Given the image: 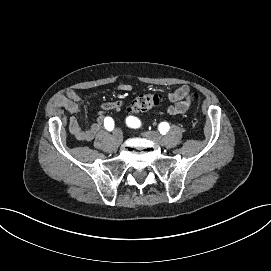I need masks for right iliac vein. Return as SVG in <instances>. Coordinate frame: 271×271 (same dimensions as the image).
I'll return each mask as SVG.
<instances>
[{"mask_svg": "<svg viewBox=\"0 0 271 271\" xmlns=\"http://www.w3.org/2000/svg\"><path fill=\"white\" fill-rule=\"evenodd\" d=\"M113 139H114L116 144H120L122 142V140H123L122 132L120 130H116L114 132Z\"/></svg>", "mask_w": 271, "mask_h": 271, "instance_id": "63e3f726", "label": "right iliac vein"}]
</instances>
